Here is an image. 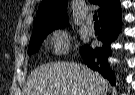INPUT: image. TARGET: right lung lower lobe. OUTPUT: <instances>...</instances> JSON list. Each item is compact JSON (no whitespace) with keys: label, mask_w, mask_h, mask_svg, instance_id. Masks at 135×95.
Returning <instances> with one entry per match:
<instances>
[{"label":"right lung lower lobe","mask_w":135,"mask_h":95,"mask_svg":"<svg viewBox=\"0 0 135 95\" xmlns=\"http://www.w3.org/2000/svg\"><path fill=\"white\" fill-rule=\"evenodd\" d=\"M121 30V16L106 20L101 23V34L98 37L102 41L101 47L92 48L85 45L80 49L84 63L94 71H98L111 84H115L113 72L108 65V57L111 55V43L115 41Z\"/></svg>","instance_id":"right-lung-lower-lobe-1"}]
</instances>
